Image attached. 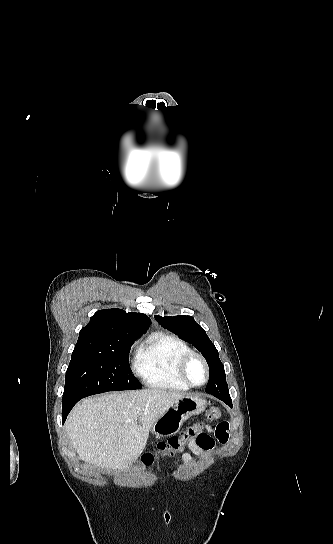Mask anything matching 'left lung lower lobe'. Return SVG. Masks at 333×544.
Instances as JSON below:
<instances>
[{"label": "left lung lower lobe", "instance_id": "0a47b994", "mask_svg": "<svg viewBox=\"0 0 333 544\" xmlns=\"http://www.w3.org/2000/svg\"><path fill=\"white\" fill-rule=\"evenodd\" d=\"M209 394L215 396L216 398L222 400L224 403H226L228 406L232 407V400L230 398L229 393L226 392H210Z\"/></svg>", "mask_w": 333, "mask_h": 544}]
</instances>
